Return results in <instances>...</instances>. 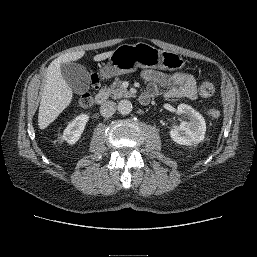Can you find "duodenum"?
I'll return each mask as SVG.
<instances>
[{"mask_svg":"<svg viewBox=\"0 0 257 257\" xmlns=\"http://www.w3.org/2000/svg\"><path fill=\"white\" fill-rule=\"evenodd\" d=\"M106 100H107V92L106 91H100L95 96V102L98 105L104 104L106 102ZM140 101L142 103H147L148 102V98L147 97H143V98L140 97Z\"/></svg>","mask_w":257,"mask_h":257,"instance_id":"duodenum-1","label":"duodenum"}]
</instances>
